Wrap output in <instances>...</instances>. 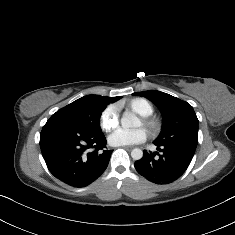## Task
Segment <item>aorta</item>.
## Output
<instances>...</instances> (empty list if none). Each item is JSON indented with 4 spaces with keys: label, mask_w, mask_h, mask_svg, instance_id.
<instances>
[{
    "label": "aorta",
    "mask_w": 235,
    "mask_h": 235,
    "mask_svg": "<svg viewBox=\"0 0 235 235\" xmlns=\"http://www.w3.org/2000/svg\"><path fill=\"white\" fill-rule=\"evenodd\" d=\"M121 125L123 128H137L141 125L140 120L131 113H124L121 118ZM131 157L134 160H140L143 157V151L139 148H135L131 151Z\"/></svg>",
    "instance_id": "aorta-1"
}]
</instances>
